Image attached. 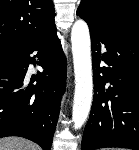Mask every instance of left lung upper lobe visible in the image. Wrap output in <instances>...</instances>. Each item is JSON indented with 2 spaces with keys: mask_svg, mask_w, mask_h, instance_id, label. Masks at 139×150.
Returning a JSON list of instances; mask_svg holds the SVG:
<instances>
[{
  "mask_svg": "<svg viewBox=\"0 0 139 150\" xmlns=\"http://www.w3.org/2000/svg\"><path fill=\"white\" fill-rule=\"evenodd\" d=\"M77 14L107 34L139 20V0H81Z\"/></svg>",
  "mask_w": 139,
  "mask_h": 150,
  "instance_id": "obj_1",
  "label": "left lung upper lobe"
}]
</instances>
